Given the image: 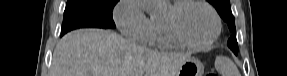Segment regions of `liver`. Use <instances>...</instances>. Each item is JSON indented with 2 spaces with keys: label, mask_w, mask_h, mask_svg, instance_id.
<instances>
[{
  "label": "liver",
  "mask_w": 287,
  "mask_h": 76,
  "mask_svg": "<svg viewBox=\"0 0 287 76\" xmlns=\"http://www.w3.org/2000/svg\"><path fill=\"white\" fill-rule=\"evenodd\" d=\"M188 57L150 50L109 30L80 29L56 45L50 76H177Z\"/></svg>",
  "instance_id": "obj_1"
}]
</instances>
